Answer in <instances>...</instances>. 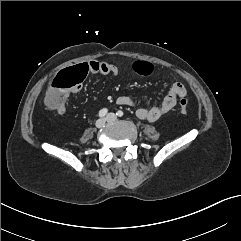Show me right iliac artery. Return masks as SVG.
<instances>
[{"instance_id": "obj_1", "label": "right iliac artery", "mask_w": 241, "mask_h": 241, "mask_svg": "<svg viewBox=\"0 0 241 241\" xmlns=\"http://www.w3.org/2000/svg\"><path fill=\"white\" fill-rule=\"evenodd\" d=\"M108 110L103 108L99 111V117H104L107 114Z\"/></svg>"}]
</instances>
